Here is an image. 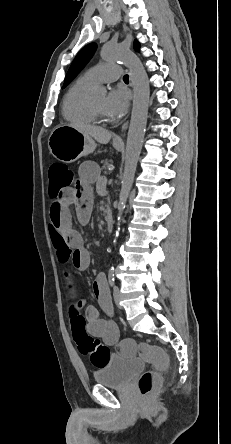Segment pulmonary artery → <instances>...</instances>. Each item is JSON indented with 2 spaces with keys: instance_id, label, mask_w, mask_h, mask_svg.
Returning a JSON list of instances; mask_svg holds the SVG:
<instances>
[{
  "instance_id": "e3ab8cb5",
  "label": "pulmonary artery",
  "mask_w": 231,
  "mask_h": 444,
  "mask_svg": "<svg viewBox=\"0 0 231 444\" xmlns=\"http://www.w3.org/2000/svg\"><path fill=\"white\" fill-rule=\"evenodd\" d=\"M121 67L114 63H103L90 68L84 77L93 84L111 82L121 77Z\"/></svg>"
}]
</instances>
